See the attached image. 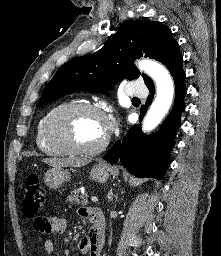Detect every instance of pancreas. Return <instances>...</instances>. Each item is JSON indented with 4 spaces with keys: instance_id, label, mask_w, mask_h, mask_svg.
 <instances>
[{
    "instance_id": "pancreas-1",
    "label": "pancreas",
    "mask_w": 221,
    "mask_h": 256,
    "mask_svg": "<svg viewBox=\"0 0 221 256\" xmlns=\"http://www.w3.org/2000/svg\"><path fill=\"white\" fill-rule=\"evenodd\" d=\"M67 200L74 204L87 205L88 204V195L82 194L80 189H75L68 196Z\"/></svg>"
}]
</instances>
